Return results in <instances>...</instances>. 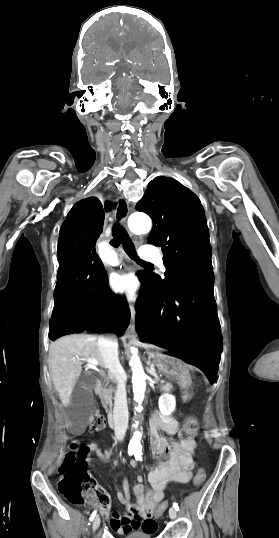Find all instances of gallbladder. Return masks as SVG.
<instances>
[{"label": "gallbladder", "instance_id": "bac80fb5", "mask_svg": "<svg viewBox=\"0 0 279 538\" xmlns=\"http://www.w3.org/2000/svg\"><path fill=\"white\" fill-rule=\"evenodd\" d=\"M97 383L96 378L89 374V372H81L75 388H73L74 401H77L79 396V401L81 404H76L72 407L69 404H64L62 409L64 411H69L67 418L70 424V431L72 433H81L83 428L87 426V423L92 421V414L90 410H94L96 407L95 398L90 391L91 388H94Z\"/></svg>", "mask_w": 279, "mask_h": 538}]
</instances>
